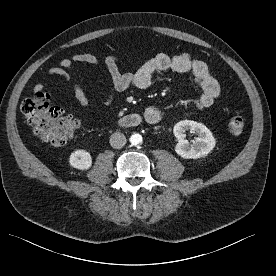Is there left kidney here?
<instances>
[{"mask_svg":"<svg viewBox=\"0 0 276 276\" xmlns=\"http://www.w3.org/2000/svg\"><path fill=\"white\" fill-rule=\"evenodd\" d=\"M189 130L198 135L193 144L185 139V132ZM173 133L178 140L175 152L184 159L204 157L213 150L216 144L211 131L205 125L195 121L183 120L178 122L173 128Z\"/></svg>","mask_w":276,"mask_h":276,"instance_id":"left-kidney-1","label":"left kidney"}]
</instances>
